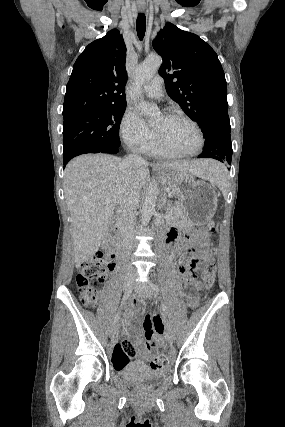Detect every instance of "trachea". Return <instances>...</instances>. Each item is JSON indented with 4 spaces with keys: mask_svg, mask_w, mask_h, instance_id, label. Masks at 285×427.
I'll use <instances>...</instances> for the list:
<instances>
[{
    "mask_svg": "<svg viewBox=\"0 0 285 427\" xmlns=\"http://www.w3.org/2000/svg\"><path fill=\"white\" fill-rule=\"evenodd\" d=\"M137 34L140 40L144 38L146 31V17L144 13H139L136 21Z\"/></svg>",
    "mask_w": 285,
    "mask_h": 427,
    "instance_id": "obj_1",
    "label": "trachea"
}]
</instances>
